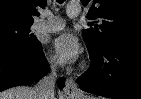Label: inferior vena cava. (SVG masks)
Segmentation results:
<instances>
[{"mask_svg":"<svg viewBox=\"0 0 141 99\" xmlns=\"http://www.w3.org/2000/svg\"><path fill=\"white\" fill-rule=\"evenodd\" d=\"M57 79V71L55 66L51 67V71L40 79L34 86L37 99H54V88Z\"/></svg>","mask_w":141,"mask_h":99,"instance_id":"1","label":"inferior vena cava"}]
</instances>
